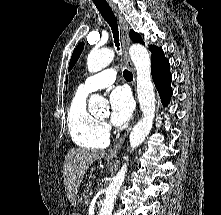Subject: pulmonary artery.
Listing matches in <instances>:
<instances>
[{
    "mask_svg": "<svg viewBox=\"0 0 221 215\" xmlns=\"http://www.w3.org/2000/svg\"><path fill=\"white\" fill-rule=\"evenodd\" d=\"M118 71L114 68L102 70L101 72L88 77L80 86L79 90L84 93H91L98 89L107 87L114 83Z\"/></svg>",
    "mask_w": 221,
    "mask_h": 215,
    "instance_id": "1",
    "label": "pulmonary artery"
}]
</instances>
